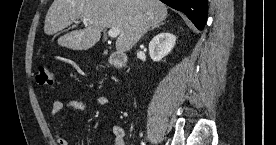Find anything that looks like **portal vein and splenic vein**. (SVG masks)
<instances>
[{"label":"portal vein and splenic vein","instance_id":"obj_1","mask_svg":"<svg viewBox=\"0 0 276 145\" xmlns=\"http://www.w3.org/2000/svg\"><path fill=\"white\" fill-rule=\"evenodd\" d=\"M82 21L84 23H87L89 21V18L84 17L82 18ZM120 34V30L118 28L112 27L108 30V36L111 38H116Z\"/></svg>","mask_w":276,"mask_h":145}]
</instances>
